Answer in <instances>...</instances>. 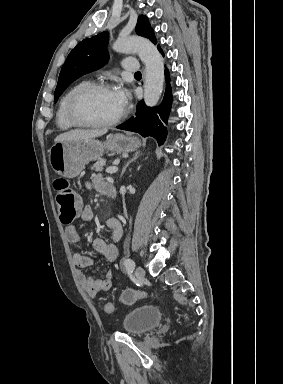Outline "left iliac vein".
<instances>
[{
    "label": "left iliac vein",
    "instance_id": "obj_1",
    "mask_svg": "<svg viewBox=\"0 0 283 384\" xmlns=\"http://www.w3.org/2000/svg\"><path fill=\"white\" fill-rule=\"evenodd\" d=\"M135 275L139 281H142L145 277V270L139 266L135 270Z\"/></svg>",
    "mask_w": 283,
    "mask_h": 384
}]
</instances>
